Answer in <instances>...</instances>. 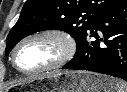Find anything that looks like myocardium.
Wrapping results in <instances>:
<instances>
[{
    "label": "myocardium",
    "instance_id": "f54148a6",
    "mask_svg": "<svg viewBox=\"0 0 127 92\" xmlns=\"http://www.w3.org/2000/svg\"><path fill=\"white\" fill-rule=\"evenodd\" d=\"M40 37H50L56 39L62 46V53L60 54L57 60H55L53 63L45 67L38 68L35 70L21 69L17 64V55L19 49L26 42ZM76 50H77V43L71 33L61 28H45L26 35L16 44L12 52V64L18 71L24 74H37V73L47 72V71L58 69L64 66L65 64H67L69 61H71V59L74 57L76 53Z\"/></svg>",
    "mask_w": 127,
    "mask_h": 92
}]
</instances>
